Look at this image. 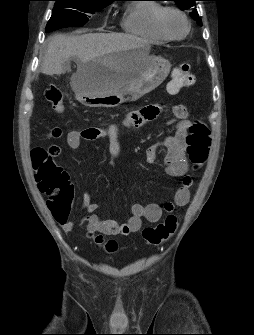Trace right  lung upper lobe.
Instances as JSON below:
<instances>
[{"instance_id":"right-lung-upper-lobe-1","label":"right lung upper lobe","mask_w":254,"mask_h":335,"mask_svg":"<svg viewBox=\"0 0 254 335\" xmlns=\"http://www.w3.org/2000/svg\"><path fill=\"white\" fill-rule=\"evenodd\" d=\"M98 1L113 2V1H116V0H98Z\"/></svg>"}]
</instances>
